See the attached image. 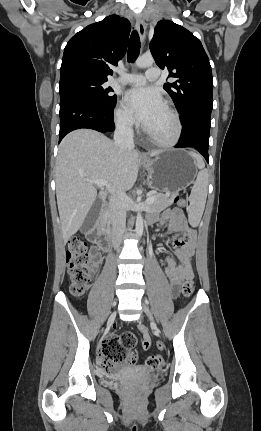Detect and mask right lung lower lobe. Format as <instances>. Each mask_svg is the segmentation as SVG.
Wrapping results in <instances>:
<instances>
[{"mask_svg": "<svg viewBox=\"0 0 261 431\" xmlns=\"http://www.w3.org/2000/svg\"><path fill=\"white\" fill-rule=\"evenodd\" d=\"M115 105L116 101L109 106H101L83 95L61 93L59 142L69 132L81 128L112 132L115 129Z\"/></svg>", "mask_w": 261, "mask_h": 431, "instance_id": "right-lung-lower-lobe-1", "label": "right lung lower lobe"}]
</instances>
